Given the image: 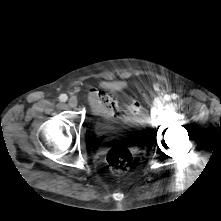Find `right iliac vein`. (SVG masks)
Listing matches in <instances>:
<instances>
[{
	"mask_svg": "<svg viewBox=\"0 0 221 221\" xmlns=\"http://www.w3.org/2000/svg\"><path fill=\"white\" fill-rule=\"evenodd\" d=\"M78 104V101L75 97H71L69 100H68V105L70 107H76Z\"/></svg>",
	"mask_w": 221,
	"mask_h": 221,
	"instance_id": "obj_1",
	"label": "right iliac vein"
}]
</instances>
